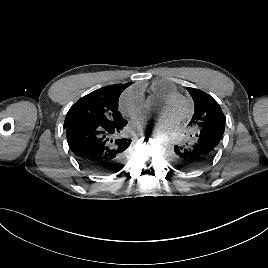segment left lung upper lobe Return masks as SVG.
I'll return each mask as SVG.
<instances>
[{
	"label": "left lung upper lobe",
	"instance_id": "left-lung-upper-lobe-1",
	"mask_svg": "<svg viewBox=\"0 0 268 268\" xmlns=\"http://www.w3.org/2000/svg\"><path fill=\"white\" fill-rule=\"evenodd\" d=\"M193 98L195 110L189 128L194 132L202 127L218 123H225L226 118L220 105L209 94L195 88H188Z\"/></svg>",
	"mask_w": 268,
	"mask_h": 268
}]
</instances>
